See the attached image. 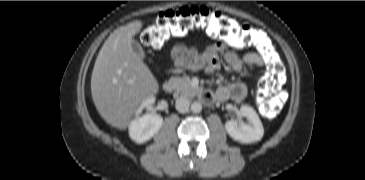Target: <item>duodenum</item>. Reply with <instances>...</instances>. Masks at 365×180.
Wrapping results in <instances>:
<instances>
[{"mask_svg":"<svg viewBox=\"0 0 365 180\" xmlns=\"http://www.w3.org/2000/svg\"><path fill=\"white\" fill-rule=\"evenodd\" d=\"M162 88L166 93H171L175 88L174 82L171 80H166L163 82ZM212 99H213V95L210 91L202 90L200 92V100L203 103L209 104V103H211Z\"/></svg>","mask_w":365,"mask_h":180,"instance_id":"1","label":"duodenum"}]
</instances>
